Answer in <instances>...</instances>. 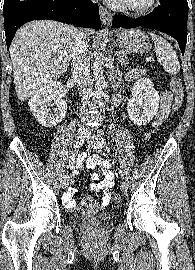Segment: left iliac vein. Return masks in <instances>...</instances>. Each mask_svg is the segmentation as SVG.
<instances>
[{
	"label": "left iliac vein",
	"mask_w": 195,
	"mask_h": 270,
	"mask_svg": "<svg viewBox=\"0 0 195 270\" xmlns=\"http://www.w3.org/2000/svg\"><path fill=\"white\" fill-rule=\"evenodd\" d=\"M87 142L89 148L92 150L100 151L103 147L102 139L99 136L89 134ZM120 189L124 194H126L128 190V184L125 180H121Z\"/></svg>",
	"instance_id": "left-iliac-vein-1"
}]
</instances>
